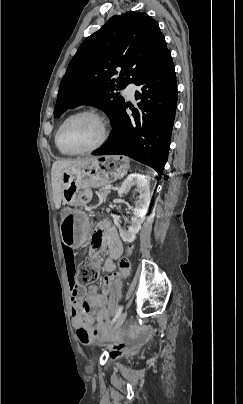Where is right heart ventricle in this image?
Segmentation results:
<instances>
[{
	"mask_svg": "<svg viewBox=\"0 0 243 404\" xmlns=\"http://www.w3.org/2000/svg\"><path fill=\"white\" fill-rule=\"evenodd\" d=\"M54 142H55L56 148L58 149V151L60 152V154L65 155V156H73V155H76V153L71 152V151L67 150L65 147H63V146L60 145V143H59V141H58V134H57V131H56V133H55V135H54Z\"/></svg>",
	"mask_w": 243,
	"mask_h": 404,
	"instance_id": "1",
	"label": "right heart ventricle"
}]
</instances>
